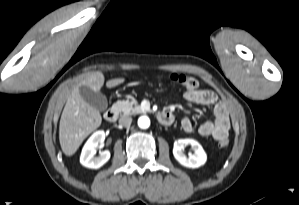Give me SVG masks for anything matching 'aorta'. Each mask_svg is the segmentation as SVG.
Wrapping results in <instances>:
<instances>
[{
    "label": "aorta",
    "mask_w": 299,
    "mask_h": 205,
    "mask_svg": "<svg viewBox=\"0 0 299 205\" xmlns=\"http://www.w3.org/2000/svg\"><path fill=\"white\" fill-rule=\"evenodd\" d=\"M138 126L142 129H146L150 126V119L147 116H141L138 119Z\"/></svg>",
    "instance_id": "obj_1"
}]
</instances>
